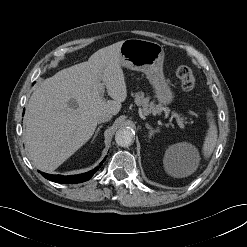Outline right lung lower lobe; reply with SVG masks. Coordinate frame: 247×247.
Here are the masks:
<instances>
[{
  "mask_svg": "<svg viewBox=\"0 0 247 247\" xmlns=\"http://www.w3.org/2000/svg\"><path fill=\"white\" fill-rule=\"evenodd\" d=\"M100 166L101 164L98 167H96L94 170L79 175L61 176V175H50L43 172H41V174L48 180L57 183H68V184L80 183L89 180L93 176V174L98 171Z\"/></svg>",
  "mask_w": 247,
  "mask_h": 247,
  "instance_id": "98d812e1",
  "label": "right lung lower lobe"
}]
</instances>
